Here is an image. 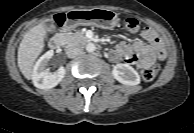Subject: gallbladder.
Listing matches in <instances>:
<instances>
[{
    "instance_id": "obj_1",
    "label": "gallbladder",
    "mask_w": 194,
    "mask_h": 133,
    "mask_svg": "<svg viewBox=\"0 0 194 133\" xmlns=\"http://www.w3.org/2000/svg\"><path fill=\"white\" fill-rule=\"evenodd\" d=\"M49 25H50L51 28L56 29V23L53 20H50Z\"/></svg>"
}]
</instances>
